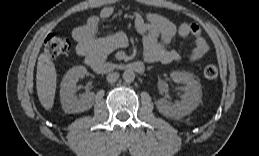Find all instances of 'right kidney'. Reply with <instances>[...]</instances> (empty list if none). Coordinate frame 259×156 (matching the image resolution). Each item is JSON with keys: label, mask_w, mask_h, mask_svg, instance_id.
Masks as SVG:
<instances>
[{"label": "right kidney", "mask_w": 259, "mask_h": 156, "mask_svg": "<svg viewBox=\"0 0 259 156\" xmlns=\"http://www.w3.org/2000/svg\"><path fill=\"white\" fill-rule=\"evenodd\" d=\"M87 69L84 66H74L63 77L60 89L62 108L66 113H81L94 104V93L86 92L77 98L76 84L79 78L85 77Z\"/></svg>", "instance_id": "1"}]
</instances>
